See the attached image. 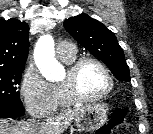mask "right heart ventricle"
Segmentation results:
<instances>
[{
    "label": "right heart ventricle",
    "instance_id": "obj_1",
    "mask_svg": "<svg viewBox=\"0 0 153 134\" xmlns=\"http://www.w3.org/2000/svg\"><path fill=\"white\" fill-rule=\"evenodd\" d=\"M60 59L62 60L63 63L69 66L76 60V55H73L67 58H60ZM52 87H53V93H54V109L68 107L72 104L65 97L61 89L60 83L54 84L52 85Z\"/></svg>",
    "mask_w": 153,
    "mask_h": 134
}]
</instances>
